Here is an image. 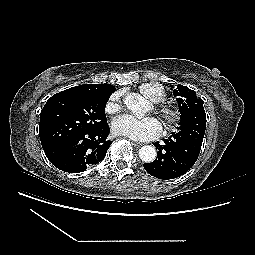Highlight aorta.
Instances as JSON below:
<instances>
[{
	"instance_id": "1",
	"label": "aorta",
	"mask_w": 255,
	"mask_h": 255,
	"mask_svg": "<svg viewBox=\"0 0 255 255\" xmlns=\"http://www.w3.org/2000/svg\"><path fill=\"white\" fill-rule=\"evenodd\" d=\"M124 103L135 116H142L144 102L139 95L135 93L128 94L124 99ZM156 156V149L151 145H144L139 149V157L145 163L153 162Z\"/></svg>"
}]
</instances>
